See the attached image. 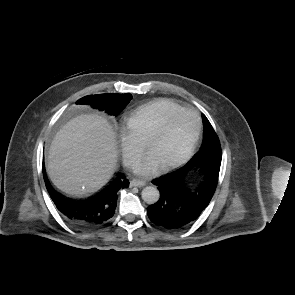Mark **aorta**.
Here are the masks:
<instances>
[{"label":"aorta","instance_id":"aorta-1","mask_svg":"<svg viewBox=\"0 0 295 295\" xmlns=\"http://www.w3.org/2000/svg\"><path fill=\"white\" fill-rule=\"evenodd\" d=\"M141 196L147 204H154L159 200L160 193L156 187L147 186L142 190Z\"/></svg>","mask_w":295,"mask_h":295}]
</instances>
